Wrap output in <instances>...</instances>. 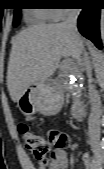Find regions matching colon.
<instances>
[{"mask_svg":"<svg viewBox=\"0 0 104 169\" xmlns=\"http://www.w3.org/2000/svg\"><path fill=\"white\" fill-rule=\"evenodd\" d=\"M19 131L23 136L28 151L42 164L45 163L52 144L56 147L63 148L68 143V137L56 130H50L43 135L32 130L29 126L22 124L19 127Z\"/></svg>","mask_w":104,"mask_h":169,"instance_id":"1","label":"colon"}]
</instances>
